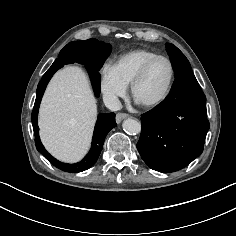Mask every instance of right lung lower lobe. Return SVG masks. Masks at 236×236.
Listing matches in <instances>:
<instances>
[{
	"instance_id": "right-lung-lower-lobe-1",
	"label": "right lung lower lobe",
	"mask_w": 236,
	"mask_h": 236,
	"mask_svg": "<svg viewBox=\"0 0 236 236\" xmlns=\"http://www.w3.org/2000/svg\"><path fill=\"white\" fill-rule=\"evenodd\" d=\"M111 53V45L105 44L96 39H88L85 41H74L68 43L60 52L58 59L54 61L51 67L43 75L37 87L36 100L32 111L31 121L35 134V145L37 150L58 169L77 173L90 168L98 159L103 148V143L108 132L117 124L115 122V114H100L95 125L92 146L86 157L75 164L62 163L52 157L44 148L39 137V128L37 124L39 105L45 91V88L53 76V74L65 64L80 63L86 65L90 74L92 86L96 96L100 94V73L98 72L103 66L106 58Z\"/></svg>"
}]
</instances>
